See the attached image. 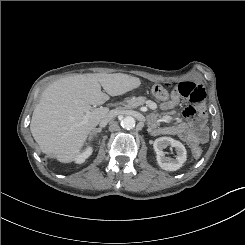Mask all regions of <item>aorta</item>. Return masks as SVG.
<instances>
[{
    "mask_svg": "<svg viewBox=\"0 0 245 245\" xmlns=\"http://www.w3.org/2000/svg\"><path fill=\"white\" fill-rule=\"evenodd\" d=\"M135 123L136 121L132 116H126L121 120V126L127 130L134 128Z\"/></svg>",
    "mask_w": 245,
    "mask_h": 245,
    "instance_id": "762f6f07",
    "label": "aorta"
}]
</instances>
